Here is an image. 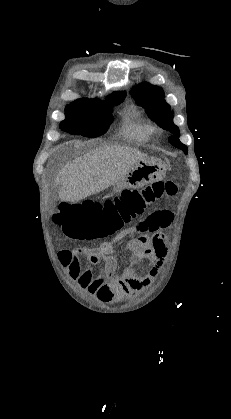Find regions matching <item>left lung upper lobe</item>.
I'll list each match as a JSON object with an SVG mask.
<instances>
[{"label":"left lung upper lobe","instance_id":"1","mask_svg":"<svg viewBox=\"0 0 231 419\" xmlns=\"http://www.w3.org/2000/svg\"><path fill=\"white\" fill-rule=\"evenodd\" d=\"M136 103L146 109L149 117L160 127L174 135L169 137V142L187 154V146L179 141V129L173 123V113L170 105L164 100V91L157 86L143 83L132 90Z\"/></svg>","mask_w":231,"mask_h":419}]
</instances>
